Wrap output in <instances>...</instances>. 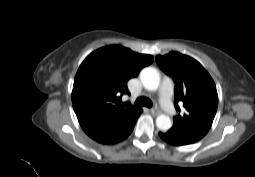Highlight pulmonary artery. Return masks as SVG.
<instances>
[{"instance_id":"1","label":"pulmonary artery","mask_w":255,"mask_h":177,"mask_svg":"<svg viewBox=\"0 0 255 177\" xmlns=\"http://www.w3.org/2000/svg\"><path fill=\"white\" fill-rule=\"evenodd\" d=\"M173 93H174V83L169 78H164L160 91V103L162 108L167 114H173L175 112V108L173 105Z\"/></svg>"}]
</instances>
